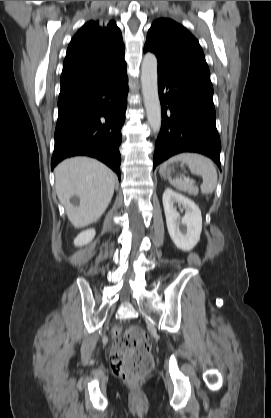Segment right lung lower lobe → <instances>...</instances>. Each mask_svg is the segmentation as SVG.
<instances>
[{"label": "right lung lower lobe", "mask_w": 271, "mask_h": 418, "mask_svg": "<svg viewBox=\"0 0 271 418\" xmlns=\"http://www.w3.org/2000/svg\"><path fill=\"white\" fill-rule=\"evenodd\" d=\"M127 93L124 67L94 90L58 104L52 170L67 157L86 155L104 162L120 179L119 145Z\"/></svg>", "instance_id": "1"}]
</instances>
